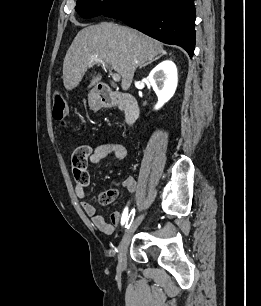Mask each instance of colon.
<instances>
[{
	"instance_id": "obj_1",
	"label": "colon",
	"mask_w": 261,
	"mask_h": 306,
	"mask_svg": "<svg viewBox=\"0 0 261 306\" xmlns=\"http://www.w3.org/2000/svg\"><path fill=\"white\" fill-rule=\"evenodd\" d=\"M52 116L55 121L66 123L68 118V109L66 102L60 93H55L52 103ZM91 153V148L88 145L77 147L73 153V167L82 169L86 166L87 160ZM118 196V190L115 187L108 189L107 193L100 199L102 203L107 204L115 200Z\"/></svg>"
}]
</instances>
